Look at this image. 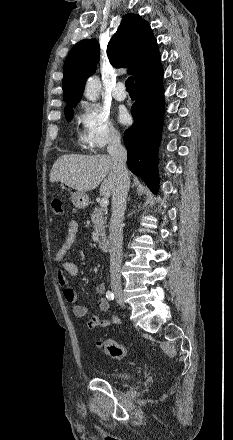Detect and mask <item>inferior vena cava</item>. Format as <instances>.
Masks as SVG:
<instances>
[{
  "instance_id": "obj_1",
  "label": "inferior vena cava",
  "mask_w": 233,
  "mask_h": 440,
  "mask_svg": "<svg viewBox=\"0 0 233 440\" xmlns=\"http://www.w3.org/2000/svg\"><path fill=\"white\" fill-rule=\"evenodd\" d=\"M107 151L114 162L116 181L112 192V215L109 226L110 244V278L111 284H121L122 262V220L126 209V198L130 180L126 168L127 151L121 144V137L115 134L111 137Z\"/></svg>"
}]
</instances>
